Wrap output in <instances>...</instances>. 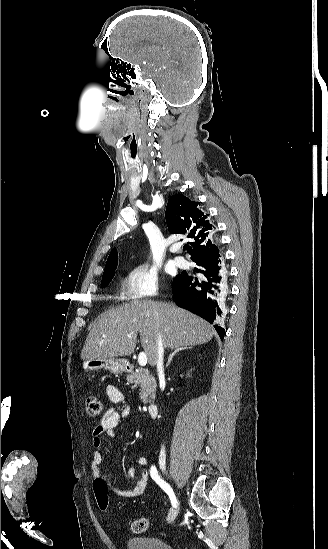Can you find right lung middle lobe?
I'll use <instances>...</instances> for the list:
<instances>
[{
	"label": "right lung middle lobe",
	"instance_id": "obj_1",
	"mask_svg": "<svg viewBox=\"0 0 328 549\" xmlns=\"http://www.w3.org/2000/svg\"><path fill=\"white\" fill-rule=\"evenodd\" d=\"M116 267H117V264L114 265L112 268H110L108 271L103 273L102 281H101V287H105L107 284H109V282L112 280V278L115 274ZM180 275L181 274H179L177 277H179Z\"/></svg>",
	"mask_w": 328,
	"mask_h": 549
}]
</instances>
